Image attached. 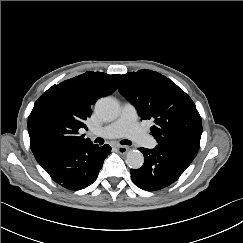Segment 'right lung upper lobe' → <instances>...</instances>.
<instances>
[{
  "label": "right lung upper lobe",
  "instance_id": "right-lung-upper-lobe-1",
  "mask_svg": "<svg viewBox=\"0 0 243 243\" xmlns=\"http://www.w3.org/2000/svg\"><path fill=\"white\" fill-rule=\"evenodd\" d=\"M120 75L88 71L49 88L34 104L28 118L31 150L49 144L83 145L89 138L79 135L92 114L95 102L113 93Z\"/></svg>",
  "mask_w": 243,
  "mask_h": 243
}]
</instances>
